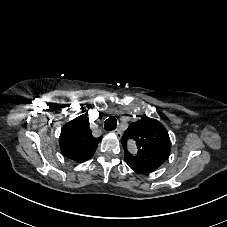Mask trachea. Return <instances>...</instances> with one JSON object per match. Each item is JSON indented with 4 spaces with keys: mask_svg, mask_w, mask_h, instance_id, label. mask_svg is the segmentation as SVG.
<instances>
[{
    "mask_svg": "<svg viewBox=\"0 0 227 227\" xmlns=\"http://www.w3.org/2000/svg\"><path fill=\"white\" fill-rule=\"evenodd\" d=\"M117 127V120L114 117H109L106 121H105V130L110 132V131H114Z\"/></svg>",
    "mask_w": 227,
    "mask_h": 227,
    "instance_id": "trachea-1",
    "label": "trachea"
}]
</instances>
